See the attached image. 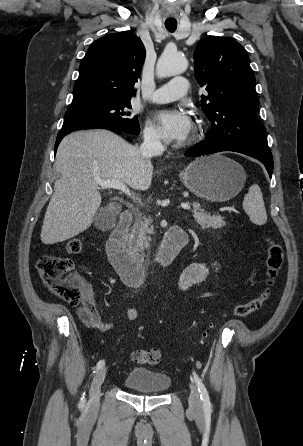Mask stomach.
I'll return each mask as SVG.
<instances>
[{
  "label": "stomach",
  "mask_w": 303,
  "mask_h": 446,
  "mask_svg": "<svg viewBox=\"0 0 303 446\" xmlns=\"http://www.w3.org/2000/svg\"><path fill=\"white\" fill-rule=\"evenodd\" d=\"M179 176L192 193L212 202L232 199L246 181L244 168L220 154L195 159Z\"/></svg>",
  "instance_id": "0dacf381"
}]
</instances>
